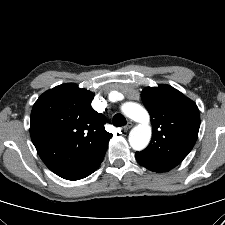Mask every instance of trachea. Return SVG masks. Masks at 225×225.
Wrapping results in <instances>:
<instances>
[{
  "label": "trachea",
  "instance_id": "3493384b",
  "mask_svg": "<svg viewBox=\"0 0 225 225\" xmlns=\"http://www.w3.org/2000/svg\"><path fill=\"white\" fill-rule=\"evenodd\" d=\"M126 118L122 114H115L113 117V125L116 127H121L126 125Z\"/></svg>",
  "mask_w": 225,
  "mask_h": 225
}]
</instances>
